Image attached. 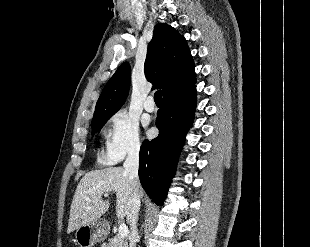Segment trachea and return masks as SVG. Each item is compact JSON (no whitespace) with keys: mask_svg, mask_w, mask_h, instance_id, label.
<instances>
[{"mask_svg":"<svg viewBox=\"0 0 310 247\" xmlns=\"http://www.w3.org/2000/svg\"><path fill=\"white\" fill-rule=\"evenodd\" d=\"M161 99H162V91L158 90L155 92L154 94V100L156 104H160L161 103Z\"/></svg>","mask_w":310,"mask_h":247,"instance_id":"1","label":"trachea"}]
</instances>
